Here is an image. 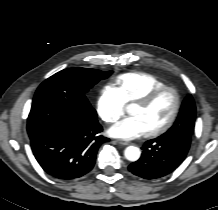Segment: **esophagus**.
<instances>
[{
    "instance_id": "1",
    "label": "esophagus",
    "mask_w": 218,
    "mask_h": 210,
    "mask_svg": "<svg viewBox=\"0 0 218 210\" xmlns=\"http://www.w3.org/2000/svg\"><path fill=\"white\" fill-rule=\"evenodd\" d=\"M116 142L117 143H119V144H121V145H124V146H127V145H129L130 144V142H128V141H124V140H116Z\"/></svg>"
}]
</instances>
